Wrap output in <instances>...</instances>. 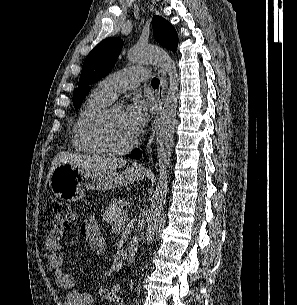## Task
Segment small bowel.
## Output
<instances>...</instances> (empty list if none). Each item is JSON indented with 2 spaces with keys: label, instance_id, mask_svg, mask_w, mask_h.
Masks as SVG:
<instances>
[{
  "label": "small bowel",
  "instance_id": "1",
  "mask_svg": "<svg viewBox=\"0 0 297 305\" xmlns=\"http://www.w3.org/2000/svg\"><path fill=\"white\" fill-rule=\"evenodd\" d=\"M80 234L97 254H103L107 250L106 242L98 233V222L94 215L89 216L80 228ZM63 233L59 230L48 231L45 247L48 251V264L53 271L56 284L67 292L65 305H95L94 297L86 292L76 290L75 279L65 269V257L61 251V240ZM96 294L102 299L110 301L113 305H125L123 299L118 295V286L112 288H98Z\"/></svg>",
  "mask_w": 297,
  "mask_h": 305
}]
</instances>
